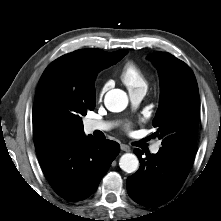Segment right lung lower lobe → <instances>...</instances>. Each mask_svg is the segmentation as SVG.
Returning a JSON list of instances; mask_svg holds the SVG:
<instances>
[{
	"label": "right lung lower lobe",
	"mask_w": 221,
	"mask_h": 221,
	"mask_svg": "<svg viewBox=\"0 0 221 221\" xmlns=\"http://www.w3.org/2000/svg\"><path fill=\"white\" fill-rule=\"evenodd\" d=\"M120 146L84 134L53 142L37 156L48 182L67 201H81L93 194L118 155Z\"/></svg>",
	"instance_id": "98d812e1"
}]
</instances>
